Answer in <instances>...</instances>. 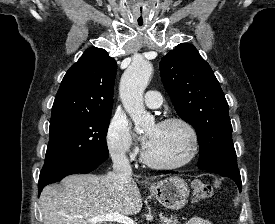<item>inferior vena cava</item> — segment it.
Wrapping results in <instances>:
<instances>
[{
    "instance_id": "1",
    "label": "inferior vena cava",
    "mask_w": 275,
    "mask_h": 224,
    "mask_svg": "<svg viewBox=\"0 0 275 224\" xmlns=\"http://www.w3.org/2000/svg\"><path fill=\"white\" fill-rule=\"evenodd\" d=\"M113 161V170L117 173L118 178L122 181L132 180V168L128 158L123 151L111 153Z\"/></svg>"
}]
</instances>
